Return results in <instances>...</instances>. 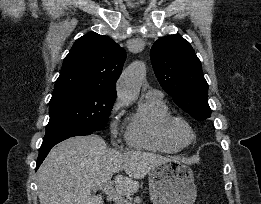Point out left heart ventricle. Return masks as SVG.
Returning a JSON list of instances; mask_svg holds the SVG:
<instances>
[{"label": "left heart ventricle", "instance_id": "left-heart-ventricle-1", "mask_svg": "<svg viewBox=\"0 0 261 204\" xmlns=\"http://www.w3.org/2000/svg\"><path fill=\"white\" fill-rule=\"evenodd\" d=\"M176 134H177L178 139L181 142L185 143V142H188L190 140V134L184 127H178L176 129Z\"/></svg>", "mask_w": 261, "mask_h": 204}]
</instances>
